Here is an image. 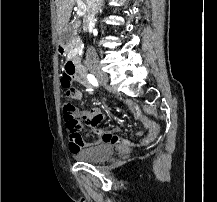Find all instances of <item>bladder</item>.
Masks as SVG:
<instances>
[{
  "mask_svg": "<svg viewBox=\"0 0 217 202\" xmlns=\"http://www.w3.org/2000/svg\"><path fill=\"white\" fill-rule=\"evenodd\" d=\"M113 152L114 146L112 143H101L77 153L76 158L81 161H99L105 158H111Z\"/></svg>",
  "mask_w": 217,
  "mask_h": 202,
  "instance_id": "31cf9c89",
  "label": "bladder"
}]
</instances>
